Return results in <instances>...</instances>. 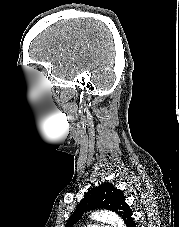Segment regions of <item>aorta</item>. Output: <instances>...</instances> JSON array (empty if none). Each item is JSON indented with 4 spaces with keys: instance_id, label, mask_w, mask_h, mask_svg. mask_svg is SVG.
Segmentation results:
<instances>
[{
    "instance_id": "762f6f07",
    "label": "aorta",
    "mask_w": 179,
    "mask_h": 227,
    "mask_svg": "<svg viewBox=\"0 0 179 227\" xmlns=\"http://www.w3.org/2000/svg\"><path fill=\"white\" fill-rule=\"evenodd\" d=\"M91 219L112 224L114 227H125L122 219L110 211H96L91 214Z\"/></svg>"
}]
</instances>
